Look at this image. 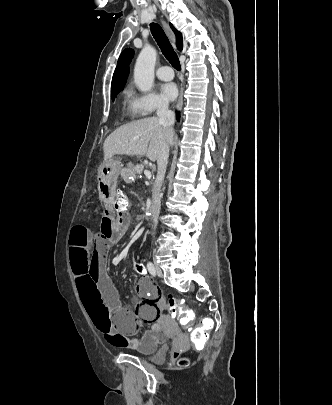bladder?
Segmentation results:
<instances>
[{"label":"bladder","instance_id":"obj_1","mask_svg":"<svg viewBox=\"0 0 332 405\" xmlns=\"http://www.w3.org/2000/svg\"><path fill=\"white\" fill-rule=\"evenodd\" d=\"M167 335L162 334V340L156 343L151 348L136 350L137 353L142 355H152L151 360L154 363L160 364L166 360L168 348L166 346Z\"/></svg>","mask_w":332,"mask_h":405}]
</instances>
